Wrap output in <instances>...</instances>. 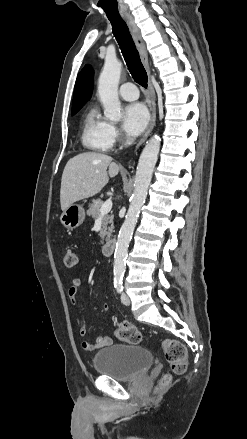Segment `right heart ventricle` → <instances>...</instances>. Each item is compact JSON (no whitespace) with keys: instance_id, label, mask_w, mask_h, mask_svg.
<instances>
[{"instance_id":"right-heart-ventricle-1","label":"right heart ventricle","mask_w":247,"mask_h":439,"mask_svg":"<svg viewBox=\"0 0 247 439\" xmlns=\"http://www.w3.org/2000/svg\"><path fill=\"white\" fill-rule=\"evenodd\" d=\"M109 126L110 124L100 115L98 109L91 107L82 120L80 134L82 145L97 152L110 150L113 140L110 137Z\"/></svg>"}]
</instances>
